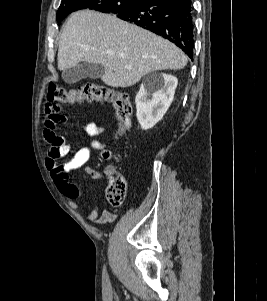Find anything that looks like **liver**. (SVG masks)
I'll return each instance as SVG.
<instances>
[{
	"label": "liver",
	"mask_w": 267,
	"mask_h": 301,
	"mask_svg": "<svg viewBox=\"0 0 267 301\" xmlns=\"http://www.w3.org/2000/svg\"><path fill=\"white\" fill-rule=\"evenodd\" d=\"M58 69L81 62L101 64V80L111 87H130L144 75L158 70H179L187 56L176 45L118 19L91 10L75 12L59 41Z\"/></svg>",
	"instance_id": "1"
}]
</instances>
